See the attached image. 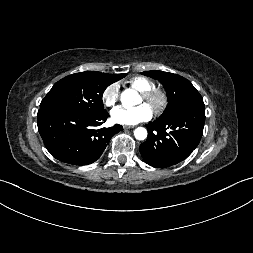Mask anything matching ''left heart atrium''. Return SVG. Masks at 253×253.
Instances as JSON below:
<instances>
[{
	"instance_id": "obj_1",
	"label": "left heart atrium",
	"mask_w": 253,
	"mask_h": 253,
	"mask_svg": "<svg viewBox=\"0 0 253 253\" xmlns=\"http://www.w3.org/2000/svg\"><path fill=\"white\" fill-rule=\"evenodd\" d=\"M153 111L148 104L133 108L118 107L111 112L112 120L121 125H135L152 118Z\"/></svg>"
}]
</instances>
